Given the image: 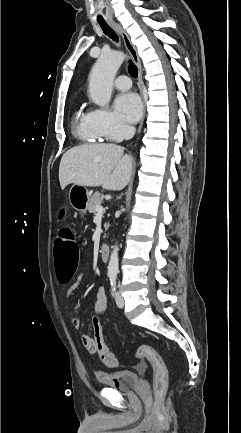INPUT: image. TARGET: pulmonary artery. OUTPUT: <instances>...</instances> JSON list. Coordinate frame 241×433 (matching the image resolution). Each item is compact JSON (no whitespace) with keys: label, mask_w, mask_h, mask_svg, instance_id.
Masks as SVG:
<instances>
[{"label":"pulmonary artery","mask_w":241,"mask_h":433,"mask_svg":"<svg viewBox=\"0 0 241 433\" xmlns=\"http://www.w3.org/2000/svg\"><path fill=\"white\" fill-rule=\"evenodd\" d=\"M114 85L119 90H127L131 87V80L127 75H120L115 80Z\"/></svg>","instance_id":"1"}]
</instances>
